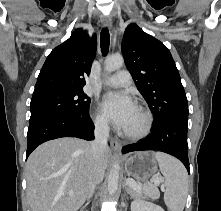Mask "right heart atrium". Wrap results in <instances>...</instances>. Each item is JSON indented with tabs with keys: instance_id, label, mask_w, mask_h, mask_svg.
Instances as JSON below:
<instances>
[{
	"instance_id": "obj_1",
	"label": "right heart atrium",
	"mask_w": 221,
	"mask_h": 211,
	"mask_svg": "<svg viewBox=\"0 0 221 211\" xmlns=\"http://www.w3.org/2000/svg\"><path fill=\"white\" fill-rule=\"evenodd\" d=\"M94 124L99 130H106L108 128V121L102 113H96L94 117Z\"/></svg>"
}]
</instances>
